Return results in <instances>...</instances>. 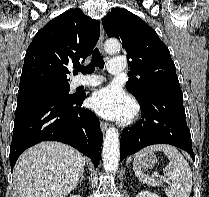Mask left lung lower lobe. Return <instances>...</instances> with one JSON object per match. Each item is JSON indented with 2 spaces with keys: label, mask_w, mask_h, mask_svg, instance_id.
<instances>
[{
  "label": "left lung lower lobe",
  "mask_w": 209,
  "mask_h": 197,
  "mask_svg": "<svg viewBox=\"0 0 209 197\" xmlns=\"http://www.w3.org/2000/svg\"><path fill=\"white\" fill-rule=\"evenodd\" d=\"M142 119L122 132L120 161L153 144H171L195 156L186 123L182 93H158L138 100Z\"/></svg>",
  "instance_id": "left-lung-lower-lobe-1"
}]
</instances>
